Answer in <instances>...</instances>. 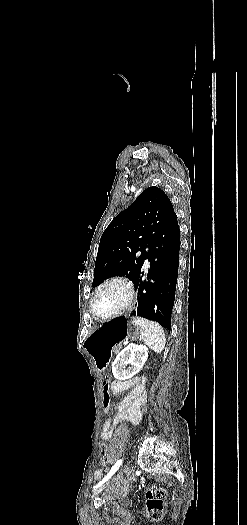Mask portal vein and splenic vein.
<instances>
[{"mask_svg": "<svg viewBox=\"0 0 247 525\" xmlns=\"http://www.w3.org/2000/svg\"><path fill=\"white\" fill-rule=\"evenodd\" d=\"M128 343H130V340H125V343H123V346H128Z\"/></svg>", "mask_w": 247, "mask_h": 525, "instance_id": "1", "label": "portal vein and splenic vein"}]
</instances>
